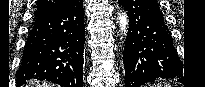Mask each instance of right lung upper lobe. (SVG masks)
<instances>
[{
	"label": "right lung upper lobe",
	"mask_w": 205,
	"mask_h": 87,
	"mask_svg": "<svg viewBox=\"0 0 205 87\" xmlns=\"http://www.w3.org/2000/svg\"><path fill=\"white\" fill-rule=\"evenodd\" d=\"M72 0H39L37 3V14H43L67 5Z\"/></svg>",
	"instance_id": "cb5924a9"
}]
</instances>
